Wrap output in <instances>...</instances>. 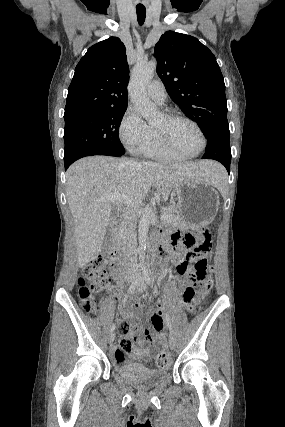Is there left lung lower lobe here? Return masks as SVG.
Masks as SVG:
<instances>
[{
    "label": "left lung lower lobe",
    "mask_w": 285,
    "mask_h": 427,
    "mask_svg": "<svg viewBox=\"0 0 285 427\" xmlns=\"http://www.w3.org/2000/svg\"><path fill=\"white\" fill-rule=\"evenodd\" d=\"M229 130H217L207 136V147L202 158L213 159L222 163L227 171H230L231 150Z\"/></svg>",
    "instance_id": "0a47b994"
}]
</instances>
